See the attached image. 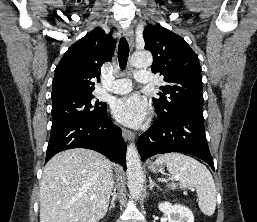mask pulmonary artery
I'll list each match as a JSON object with an SVG mask.
<instances>
[{
    "instance_id": "1",
    "label": "pulmonary artery",
    "mask_w": 257,
    "mask_h": 222,
    "mask_svg": "<svg viewBox=\"0 0 257 222\" xmlns=\"http://www.w3.org/2000/svg\"><path fill=\"white\" fill-rule=\"evenodd\" d=\"M135 80L142 84L151 83V74L148 71H140L135 75ZM132 89V83L129 79H119L113 82L110 90L116 94L129 92Z\"/></svg>"
}]
</instances>
